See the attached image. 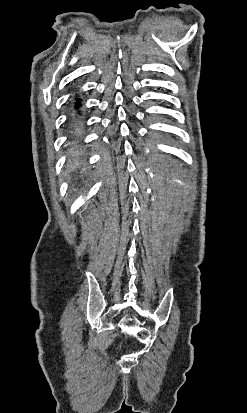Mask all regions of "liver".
I'll return each instance as SVG.
<instances>
[{
    "label": "liver",
    "mask_w": 247,
    "mask_h": 413,
    "mask_svg": "<svg viewBox=\"0 0 247 413\" xmlns=\"http://www.w3.org/2000/svg\"><path fill=\"white\" fill-rule=\"evenodd\" d=\"M79 152H73L72 156H78ZM78 162L76 160V158H74V162H71V160H69L68 162V168H75V166H77Z\"/></svg>",
    "instance_id": "obj_1"
}]
</instances>
